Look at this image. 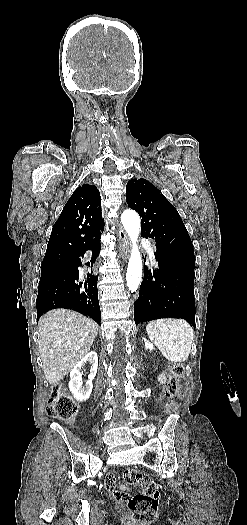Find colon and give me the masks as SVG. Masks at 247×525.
<instances>
[{
  "instance_id": "colon-1",
  "label": "colon",
  "mask_w": 247,
  "mask_h": 525,
  "mask_svg": "<svg viewBox=\"0 0 247 525\" xmlns=\"http://www.w3.org/2000/svg\"><path fill=\"white\" fill-rule=\"evenodd\" d=\"M184 364L175 362L170 365L166 381V392L169 399L180 395V388L184 380ZM46 413L48 416L64 421L72 420L78 413V406L74 399L67 393L63 383L53 384L51 395L47 402ZM127 484L140 488L137 493L127 497V505L133 510L134 518L140 522L152 523L158 514L159 489L155 481L151 480L136 470H127L124 474Z\"/></svg>"
}]
</instances>
